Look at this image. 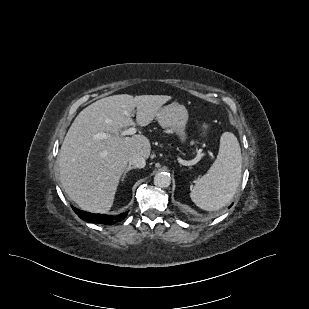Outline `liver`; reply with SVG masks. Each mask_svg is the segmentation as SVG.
<instances>
[{
  "label": "liver",
  "mask_w": 309,
  "mask_h": 309,
  "mask_svg": "<svg viewBox=\"0 0 309 309\" xmlns=\"http://www.w3.org/2000/svg\"><path fill=\"white\" fill-rule=\"evenodd\" d=\"M171 99L166 95H113L77 115L62 143L58 166L63 189L80 208L94 213L110 210L129 158L139 154L147 159L151 153L147 137H124L122 129L135 124V108L137 124L147 126ZM98 133L106 137L98 139Z\"/></svg>",
  "instance_id": "1"
}]
</instances>
